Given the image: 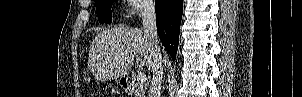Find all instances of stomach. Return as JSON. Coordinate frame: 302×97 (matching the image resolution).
<instances>
[{"mask_svg":"<svg viewBox=\"0 0 302 97\" xmlns=\"http://www.w3.org/2000/svg\"><path fill=\"white\" fill-rule=\"evenodd\" d=\"M119 84H120L121 86H124V85L126 84V80H125L124 77H121V78L119 79Z\"/></svg>","mask_w":302,"mask_h":97,"instance_id":"stomach-1","label":"stomach"}]
</instances>
